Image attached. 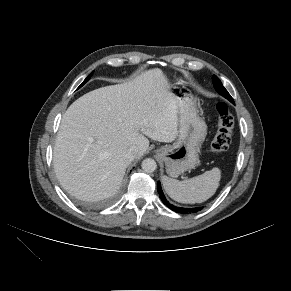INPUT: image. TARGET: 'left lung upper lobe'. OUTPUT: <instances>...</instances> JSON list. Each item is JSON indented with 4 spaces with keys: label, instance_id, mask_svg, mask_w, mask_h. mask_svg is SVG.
Returning <instances> with one entry per match:
<instances>
[{
    "label": "left lung upper lobe",
    "instance_id": "5c2ea615",
    "mask_svg": "<svg viewBox=\"0 0 291 291\" xmlns=\"http://www.w3.org/2000/svg\"><path fill=\"white\" fill-rule=\"evenodd\" d=\"M213 79V84L215 89L225 98H227L230 102H233L232 97L230 96V94L228 93V91L224 88V86L222 85L221 81L219 80V78L215 75H213L212 77Z\"/></svg>",
    "mask_w": 291,
    "mask_h": 291
}]
</instances>
